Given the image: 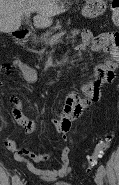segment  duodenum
<instances>
[{
	"label": "duodenum",
	"instance_id": "1",
	"mask_svg": "<svg viewBox=\"0 0 119 185\" xmlns=\"http://www.w3.org/2000/svg\"><path fill=\"white\" fill-rule=\"evenodd\" d=\"M15 40L18 44H24L28 38V32L26 30H18L14 34Z\"/></svg>",
	"mask_w": 119,
	"mask_h": 185
}]
</instances>
